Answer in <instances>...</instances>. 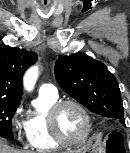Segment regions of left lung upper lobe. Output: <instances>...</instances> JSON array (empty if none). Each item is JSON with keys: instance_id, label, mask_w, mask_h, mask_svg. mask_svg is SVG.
Here are the masks:
<instances>
[{"instance_id": "left-lung-upper-lobe-1", "label": "left lung upper lobe", "mask_w": 130, "mask_h": 153, "mask_svg": "<svg viewBox=\"0 0 130 153\" xmlns=\"http://www.w3.org/2000/svg\"><path fill=\"white\" fill-rule=\"evenodd\" d=\"M55 76L63 90L90 111L125 125L118 82L102 62L84 53L62 56Z\"/></svg>"}]
</instances>
